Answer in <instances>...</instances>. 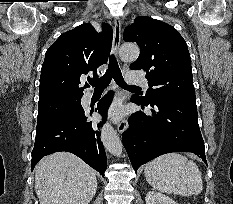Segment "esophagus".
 Returning <instances> with one entry per match:
<instances>
[{"label":"esophagus","mask_w":233,"mask_h":204,"mask_svg":"<svg viewBox=\"0 0 233 204\" xmlns=\"http://www.w3.org/2000/svg\"><path fill=\"white\" fill-rule=\"evenodd\" d=\"M121 33H122V25L121 20L119 18L114 19V36H113V50L116 56L119 53V47L121 43ZM128 127V123L126 119H122L117 123V130L119 133H123Z\"/></svg>","instance_id":"1"}]
</instances>
